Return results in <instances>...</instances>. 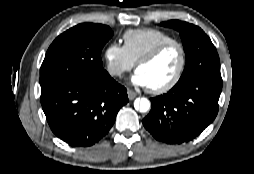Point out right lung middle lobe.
<instances>
[{
    "instance_id": "dd1d6c3e",
    "label": "right lung middle lobe",
    "mask_w": 254,
    "mask_h": 174,
    "mask_svg": "<svg viewBox=\"0 0 254 174\" xmlns=\"http://www.w3.org/2000/svg\"><path fill=\"white\" fill-rule=\"evenodd\" d=\"M112 35L109 26L93 23L79 24L59 35L41 65V90L106 74L100 53Z\"/></svg>"
}]
</instances>
